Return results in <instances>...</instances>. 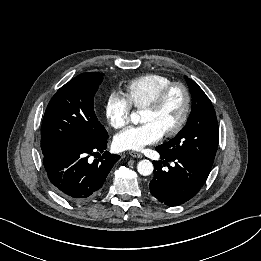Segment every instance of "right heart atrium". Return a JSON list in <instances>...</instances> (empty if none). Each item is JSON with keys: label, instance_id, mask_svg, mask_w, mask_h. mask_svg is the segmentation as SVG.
<instances>
[{"label": "right heart atrium", "instance_id": "1", "mask_svg": "<svg viewBox=\"0 0 261 261\" xmlns=\"http://www.w3.org/2000/svg\"><path fill=\"white\" fill-rule=\"evenodd\" d=\"M130 112L131 104L126 97L117 92L108 96L105 104V115L113 128H124L130 121Z\"/></svg>", "mask_w": 261, "mask_h": 261}]
</instances>
